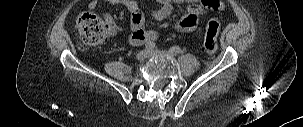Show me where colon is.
Returning <instances> with one entry per match:
<instances>
[{"instance_id": "obj_1", "label": "colon", "mask_w": 303, "mask_h": 127, "mask_svg": "<svg viewBox=\"0 0 303 127\" xmlns=\"http://www.w3.org/2000/svg\"><path fill=\"white\" fill-rule=\"evenodd\" d=\"M219 19L211 18L205 29L204 49L209 54L217 51V34L219 32ZM76 29L82 49L94 47L104 42L110 35V27L93 12H83L76 20Z\"/></svg>"}]
</instances>
